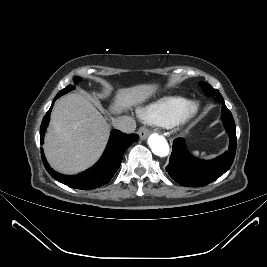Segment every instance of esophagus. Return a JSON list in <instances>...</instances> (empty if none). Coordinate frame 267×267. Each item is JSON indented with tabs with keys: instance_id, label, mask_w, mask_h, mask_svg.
Returning a JSON list of instances; mask_svg holds the SVG:
<instances>
[{
	"instance_id": "esophagus-1",
	"label": "esophagus",
	"mask_w": 267,
	"mask_h": 267,
	"mask_svg": "<svg viewBox=\"0 0 267 267\" xmlns=\"http://www.w3.org/2000/svg\"><path fill=\"white\" fill-rule=\"evenodd\" d=\"M138 134L141 139H146L147 136L150 134V131L146 127H141L138 131Z\"/></svg>"
}]
</instances>
